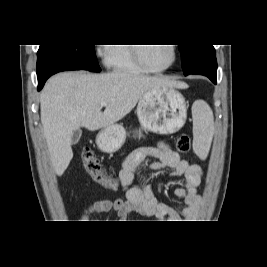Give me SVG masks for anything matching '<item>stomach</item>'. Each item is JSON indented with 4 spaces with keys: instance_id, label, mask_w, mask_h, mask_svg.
Returning <instances> with one entry per match:
<instances>
[{
    "instance_id": "1",
    "label": "stomach",
    "mask_w": 267,
    "mask_h": 267,
    "mask_svg": "<svg viewBox=\"0 0 267 267\" xmlns=\"http://www.w3.org/2000/svg\"><path fill=\"white\" fill-rule=\"evenodd\" d=\"M137 116L143 130L162 135L177 132L187 118L184 96L175 87H162L148 91L137 106ZM126 131L113 124L101 130L96 143L105 153L118 151L124 144Z\"/></svg>"
}]
</instances>
